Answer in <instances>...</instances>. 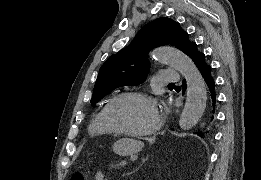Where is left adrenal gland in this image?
I'll return each mask as SVG.
<instances>
[{
    "label": "left adrenal gland",
    "instance_id": "obj_1",
    "mask_svg": "<svg viewBox=\"0 0 261 180\" xmlns=\"http://www.w3.org/2000/svg\"><path fill=\"white\" fill-rule=\"evenodd\" d=\"M149 156H147V158H141V164L140 166H143V164H145L146 160H148Z\"/></svg>",
    "mask_w": 261,
    "mask_h": 180
}]
</instances>
